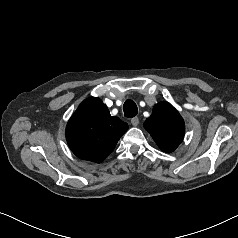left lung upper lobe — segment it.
Here are the masks:
<instances>
[{"label": "left lung upper lobe", "instance_id": "5c2ea615", "mask_svg": "<svg viewBox=\"0 0 238 238\" xmlns=\"http://www.w3.org/2000/svg\"><path fill=\"white\" fill-rule=\"evenodd\" d=\"M159 148L167 153L174 151L185 133L184 120L169 103L160 102L153 108L152 115L144 123Z\"/></svg>", "mask_w": 238, "mask_h": 238}]
</instances>
